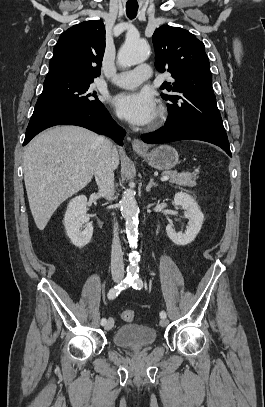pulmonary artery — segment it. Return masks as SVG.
<instances>
[{"mask_svg":"<svg viewBox=\"0 0 265 407\" xmlns=\"http://www.w3.org/2000/svg\"><path fill=\"white\" fill-rule=\"evenodd\" d=\"M149 65H141L133 70H128L117 74L112 82L122 88H135L151 77Z\"/></svg>","mask_w":265,"mask_h":407,"instance_id":"obj_1","label":"pulmonary artery"}]
</instances>
